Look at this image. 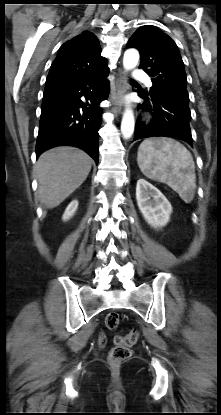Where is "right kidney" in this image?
<instances>
[{"label": "right kidney", "mask_w": 221, "mask_h": 415, "mask_svg": "<svg viewBox=\"0 0 221 415\" xmlns=\"http://www.w3.org/2000/svg\"><path fill=\"white\" fill-rule=\"evenodd\" d=\"M78 208V201L77 200H73L66 208L62 220L63 221H67L69 220L76 212Z\"/></svg>", "instance_id": "obj_1"}]
</instances>
